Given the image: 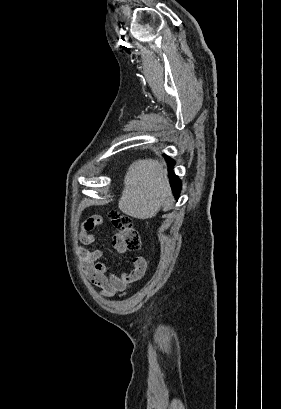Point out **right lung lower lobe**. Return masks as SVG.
<instances>
[{
    "mask_svg": "<svg viewBox=\"0 0 281 409\" xmlns=\"http://www.w3.org/2000/svg\"><path fill=\"white\" fill-rule=\"evenodd\" d=\"M168 161H169V164H168V166H169V171L172 172V168H173V166H174V161L171 160V159H168ZM171 181H172L171 187H172V190H173V194L176 196V198H178V197H179V193H180V189H181V188H180L181 182H180V180L178 179V177L175 176L173 173L171 174Z\"/></svg>",
    "mask_w": 281,
    "mask_h": 409,
    "instance_id": "1",
    "label": "right lung lower lobe"
}]
</instances>
